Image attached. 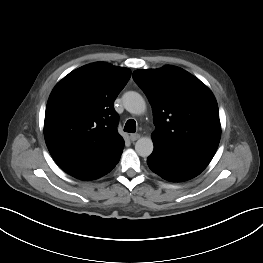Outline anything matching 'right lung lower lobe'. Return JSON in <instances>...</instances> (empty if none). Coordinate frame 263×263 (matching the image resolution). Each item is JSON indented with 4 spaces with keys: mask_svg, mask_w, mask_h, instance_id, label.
Segmentation results:
<instances>
[{
    "mask_svg": "<svg viewBox=\"0 0 263 263\" xmlns=\"http://www.w3.org/2000/svg\"><path fill=\"white\" fill-rule=\"evenodd\" d=\"M121 154H122V151L118 155H116L112 160H110L108 163L100 167L82 171V172L73 174L72 176H74L75 178L81 179V180H94V179L100 178L103 175L110 172L116 166V164L119 162Z\"/></svg>",
    "mask_w": 263,
    "mask_h": 263,
    "instance_id": "right-lung-lower-lobe-1",
    "label": "right lung lower lobe"
}]
</instances>
